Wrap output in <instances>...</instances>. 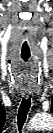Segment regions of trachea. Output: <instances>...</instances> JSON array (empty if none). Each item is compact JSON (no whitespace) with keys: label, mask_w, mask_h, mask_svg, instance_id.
<instances>
[{"label":"trachea","mask_w":53,"mask_h":133,"mask_svg":"<svg viewBox=\"0 0 53 133\" xmlns=\"http://www.w3.org/2000/svg\"><path fill=\"white\" fill-rule=\"evenodd\" d=\"M30 106H31V98L30 97L28 99L23 98L21 101L20 108L18 110V115H17V120H18L17 124H18V129L20 133L25 123Z\"/></svg>","instance_id":"trachea-1"}]
</instances>
